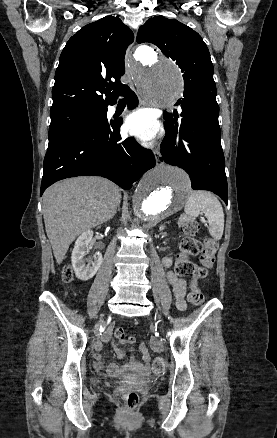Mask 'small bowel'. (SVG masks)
<instances>
[{
    "label": "small bowel",
    "instance_id": "obj_1",
    "mask_svg": "<svg viewBox=\"0 0 277 438\" xmlns=\"http://www.w3.org/2000/svg\"><path fill=\"white\" fill-rule=\"evenodd\" d=\"M162 263L165 267H170L172 264V258L170 256H166L163 258ZM167 279L169 283L171 284L174 292V296L176 299V305L179 309H184L186 306L185 303V281L179 277L176 273L173 271L167 272ZM104 336H102L101 341L104 344L109 343V341H112V337L114 335L113 328L110 325H106L103 328ZM102 348V345L100 343L94 344V349L96 351H100ZM142 353H143V359L144 363H139L133 358H130L128 366L126 367V372L133 370V371H139L141 373H144L147 371V362L150 360V355L147 351V348L144 344L140 347ZM116 353L119 358L123 359L125 357V354L122 350L116 349ZM96 358L100 359V354H96ZM119 362H116L115 360H112L110 362V365L107 367V371L112 375L114 379H119L121 377L120 370L118 368ZM121 365H127V362H121ZM97 369H102L103 365L100 363H97L95 366Z\"/></svg>",
    "mask_w": 277,
    "mask_h": 438
}]
</instances>
